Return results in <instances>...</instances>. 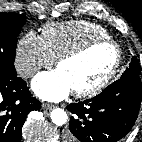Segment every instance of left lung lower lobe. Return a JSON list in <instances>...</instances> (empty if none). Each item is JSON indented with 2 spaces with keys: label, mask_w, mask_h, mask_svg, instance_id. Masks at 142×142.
<instances>
[{
  "label": "left lung lower lobe",
  "mask_w": 142,
  "mask_h": 142,
  "mask_svg": "<svg viewBox=\"0 0 142 142\" xmlns=\"http://www.w3.org/2000/svg\"><path fill=\"white\" fill-rule=\"evenodd\" d=\"M142 100L140 76L120 78L99 95L70 104L66 142H116L133 127Z\"/></svg>",
  "instance_id": "0a47b994"
}]
</instances>
